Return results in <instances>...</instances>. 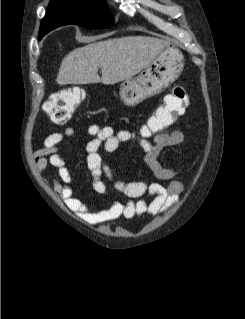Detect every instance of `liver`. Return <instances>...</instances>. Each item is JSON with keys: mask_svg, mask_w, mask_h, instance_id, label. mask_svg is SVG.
<instances>
[{"mask_svg": "<svg viewBox=\"0 0 245 319\" xmlns=\"http://www.w3.org/2000/svg\"><path fill=\"white\" fill-rule=\"evenodd\" d=\"M167 41L129 36L88 44L71 51L61 62L56 82L112 85L138 74L165 48ZM102 76L99 77L98 70Z\"/></svg>", "mask_w": 245, "mask_h": 319, "instance_id": "obj_1", "label": "liver"}]
</instances>
